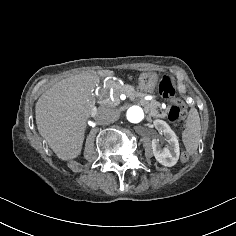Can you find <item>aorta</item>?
<instances>
[{
  "instance_id": "aorta-1",
  "label": "aorta",
  "mask_w": 236,
  "mask_h": 236,
  "mask_svg": "<svg viewBox=\"0 0 236 236\" xmlns=\"http://www.w3.org/2000/svg\"><path fill=\"white\" fill-rule=\"evenodd\" d=\"M127 120L131 123H140L145 118V111L140 106H131L125 114Z\"/></svg>"
}]
</instances>
